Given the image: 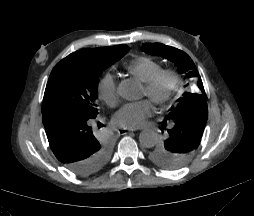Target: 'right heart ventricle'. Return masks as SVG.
Returning <instances> with one entry per match:
<instances>
[{
	"label": "right heart ventricle",
	"mask_w": 254,
	"mask_h": 216,
	"mask_svg": "<svg viewBox=\"0 0 254 216\" xmlns=\"http://www.w3.org/2000/svg\"><path fill=\"white\" fill-rule=\"evenodd\" d=\"M160 65L150 58H140L129 65V72L139 78L140 80L146 82L148 81L156 72L160 70Z\"/></svg>",
	"instance_id": "e07e8e85"
}]
</instances>
